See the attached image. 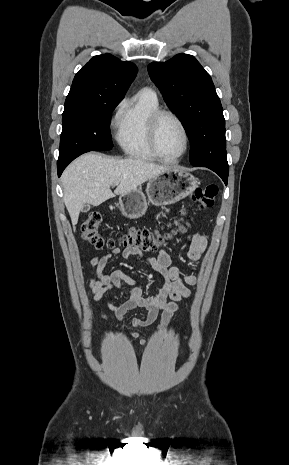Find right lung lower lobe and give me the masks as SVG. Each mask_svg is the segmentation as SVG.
<instances>
[{"mask_svg": "<svg viewBox=\"0 0 289 465\" xmlns=\"http://www.w3.org/2000/svg\"><path fill=\"white\" fill-rule=\"evenodd\" d=\"M71 161H72V160L57 162V170H58V176H59V177H60L61 173L63 172V170L66 168V166H67Z\"/></svg>", "mask_w": 289, "mask_h": 465, "instance_id": "obj_1", "label": "right lung lower lobe"}]
</instances>
